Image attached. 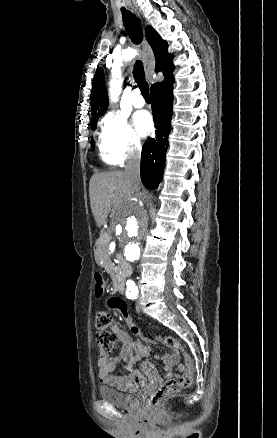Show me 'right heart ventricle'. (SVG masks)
Here are the masks:
<instances>
[{"label": "right heart ventricle", "instance_id": "e07e8e85", "mask_svg": "<svg viewBox=\"0 0 277 438\" xmlns=\"http://www.w3.org/2000/svg\"><path fill=\"white\" fill-rule=\"evenodd\" d=\"M98 146L100 150V157L104 163L113 167L118 166L120 164L122 159L114 147L113 141L108 133L107 127L104 128L99 135Z\"/></svg>", "mask_w": 277, "mask_h": 438}]
</instances>
